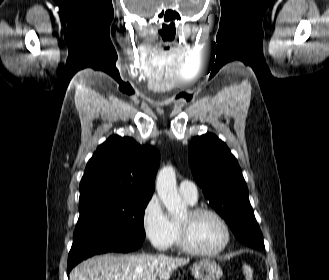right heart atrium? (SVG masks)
Here are the masks:
<instances>
[{
    "mask_svg": "<svg viewBox=\"0 0 329 280\" xmlns=\"http://www.w3.org/2000/svg\"><path fill=\"white\" fill-rule=\"evenodd\" d=\"M141 224L146 238L154 247L167 250L173 245L175 239L173 221L166 214L156 195L146 202L141 214Z\"/></svg>",
    "mask_w": 329,
    "mask_h": 280,
    "instance_id": "d8ad5b80",
    "label": "right heart atrium"
}]
</instances>
